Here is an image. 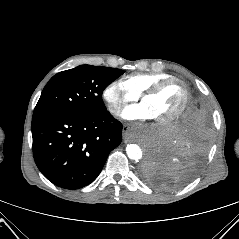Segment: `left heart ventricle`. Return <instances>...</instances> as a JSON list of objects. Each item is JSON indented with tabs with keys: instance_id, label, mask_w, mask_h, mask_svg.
Listing matches in <instances>:
<instances>
[{
	"instance_id": "b2bd125f",
	"label": "left heart ventricle",
	"mask_w": 239,
	"mask_h": 239,
	"mask_svg": "<svg viewBox=\"0 0 239 239\" xmlns=\"http://www.w3.org/2000/svg\"><path fill=\"white\" fill-rule=\"evenodd\" d=\"M183 91L178 84H170L159 93L146 97L143 103L148 107L153 119L162 120L174 114L182 105Z\"/></svg>"
}]
</instances>
